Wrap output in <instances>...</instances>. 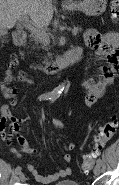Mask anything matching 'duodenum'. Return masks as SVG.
<instances>
[{
  "mask_svg": "<svg viewBox=\"0 0 119 185\" xmlns=\"http://www.w3.org/2000/svg\"><path fill=\"white\" fill-rule=\"evenodd\" d=\"M27 35L23 31H18L14 34V40L17 45L25 44ZM82 49L80 47H75L63 54L62 56L57 57L51 63L47 64L43 71L46 74H55L60 70L78 62L81 59Z\"/></svg>",
  "mask_w": 119,
  "mask_h": 185,
  "instance_id": "duodenum-1",
  "label": "duodenum"
}]
</instances>
